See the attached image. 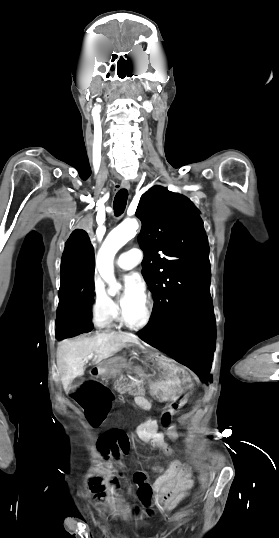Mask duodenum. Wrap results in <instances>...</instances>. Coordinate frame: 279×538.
Segmentation results:
<instances>
[{"mask_svg":"<svg viewBox=\"0 0 279 538\" xmlns=\"http://www.w3.org/2000/svg\"><path fill=\"white\" fill-rule=\"evenodd\" d=\"M127 366L123 365H104L100 364L99 366H92L88 372V377L90 380H99L102 374H112L115 373V370H121V372H126ZM138 370V365L128 366V372H134ZM139 370H145V365H139ZM146 376V373L135 372V377ZM143 381H146V378H143ZM144 385H147V389H150V386H158V381H155V377L147 378V382H144ZM135 400L137 401V406L143 407L145 413H148L149 410H152V405L150 402H145V397L136 396Z\"/></svg>","mask_w":279,"mask_h":538,"instance_id":"obj_1","label":"duodenum"}]
</instances>
